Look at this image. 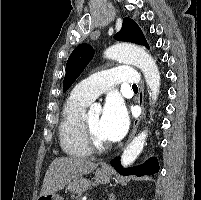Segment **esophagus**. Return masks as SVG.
Segmentation results:
<instances>
[{
    "label": "esophagus",
    "instance_id": "34e87169",
    "mask_svg": "<svg viewBox=\"0 0 201 200\" xmlns=\"http://www.w3.org/2000/svg\"><path fill=\"white\" fill-rule=\"evenodd\" d=\"M138 104L141 106V114L137 118H135V120L133 122V127H132L131 133L129 135V138L127 140V143H129L131 141V139L134 137V135L137 131L139 122L142 119V117L144 115V111H145V109H144V84L142 82L140 83V87H139Z\"/></svg>",
    "mask_w": 201,
    "mask_h": 200
}]
</instances>
